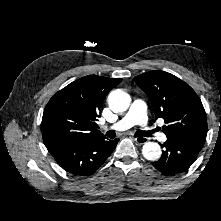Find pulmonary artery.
Returning <instances> with one entry per match:
<instances>
[{"mask_svg":"<svg viewBox=\"0 0 221 221\" xmlns=\"http://www.w3.org/2000/svg\"><path fill=\"white\" fill-rule=\"evenodd\" d=\"M136 124L141 125L145 129V131H149L151 132V134H155L152 126L148 123L146 104L141 99H136L133 101L129 111L122 119H120L113 125V128L115 130H126ZM158 138L161 141L166 140V136L164 134H158Z\"/></svg>","mask_w":221,"mask_h":221,"instance_id":"1","label":"pulmonary artery"}]
</instances>
